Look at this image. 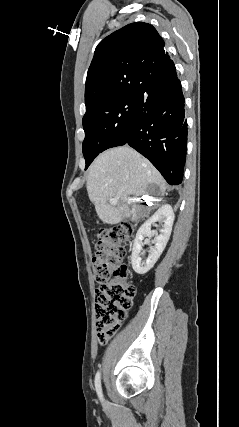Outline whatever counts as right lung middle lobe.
<instances>
[{"mask_svg": "<svg viewBox=\"0 0 239 427\" xmlns=\"http://www.w3.org/2000/svg\"><path fill=\"white\" fill-rule=\"evenodd\" d=\"M137 97H121L97 102L86 108L83 117L86 167L104 150L126 141Z\"/></svg>", "mask_w": 239, "mask_h": 427, "instance_id": "right-lung-middle-lobe-1", "label": "right lung middle lobe"}]
</instances>
